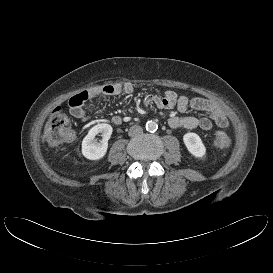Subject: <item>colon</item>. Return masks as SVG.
<instances>
[{"label":"colon","instance_id":"1","mask_svg":"<svg viewBox=\"0 0 273 273\" xmlns=\"http://www.w3.org/2000/svg\"><path fill=\"white\" fill-rule=\"evenodd\" d=\"M87 91L81 92L70 99L73 106H80L87 98ZM75 132L72 121L60 108H56L50 115L44 130V139L51 145H59L73 140ZM213 143L220 149H228L232 146V140L221 131L215 133Z\"/></svg>","mask_w":273,"mask_h":273}]
</instances>
